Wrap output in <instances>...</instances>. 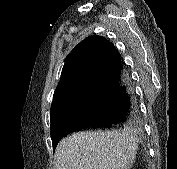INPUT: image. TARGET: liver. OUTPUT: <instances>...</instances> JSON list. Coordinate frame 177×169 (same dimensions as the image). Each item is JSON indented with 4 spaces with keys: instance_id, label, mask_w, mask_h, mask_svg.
<instances>
[{
    "instance_id": "obj_1",
    "label": "liver",
    "mask_w": 177,
    "mask_h": 169,
    "mask_svg": "<svg viewBox=\"0 0 177 169\" xmlns=\"http://www.w3.org/2000/svg\"><path fill=\"white\" fill-rule=\"evenodd\" d=\"M138 139L133 130L78 132L62 139L55 151V169H129Z\"/></svg>"
}]
</instances>
